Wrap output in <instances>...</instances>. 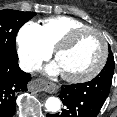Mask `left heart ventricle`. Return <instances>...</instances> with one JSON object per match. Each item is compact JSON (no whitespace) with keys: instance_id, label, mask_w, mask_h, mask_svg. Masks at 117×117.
Segmentation results:
<instances>
[{"instance_id":"obj_1","label":"left heart ventricle","mask_w":117,"mask_h":117,"mask_svg":"<svg viewBox=\"0 0 117 117\" xmlns=\"http://www.w3.org/2000/svg\"><path fill=\"white\" fill-rule=\"evenodd\" d=\"M102 55V44L94 33L80 35L56 59L62 74L82 75L93 69Z\"/></svg>"}]
</instances>
